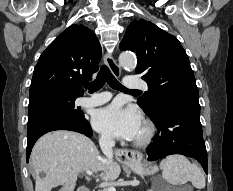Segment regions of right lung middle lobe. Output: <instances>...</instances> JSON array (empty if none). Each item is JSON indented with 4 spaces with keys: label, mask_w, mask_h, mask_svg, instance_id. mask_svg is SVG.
Here are the masks:
<instances>
[{
    "label": "right lung middle lobe",
    "mask_w": 233,
    "mask_h": 191,
    "mask_svg": "<svg viewBox=\"0 0 233 191\" xmlns=\"http://www.w3.org/2000/svg\"><path fill=\"white\" fill-rule=\"evenodd\" d=\"M77 97L65 95L58 92H43L29 100L28 115L41 108L55 109L74 116L84 117V113L75 107L74 101Z\"/></svg>",
    "instance_id": "obj_1"
}]
</instances>
